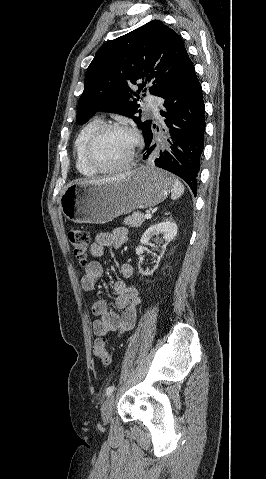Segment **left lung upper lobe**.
<instances>
[{"instance_id": "left-lung-upper-lobe-1", "label": "left lung upper lobe", "mask_w": 266, "mask_h": 479, "mask_svg": "<svg viewBox=\"0 0 266 479\" xmlns=\"http://www.w3.org/2000/svg\"><path fill=\"white\" fill-rule=\"evenodd\" d=\"M191 63L181 37L159 20L108 41L86 72L77 123H86L101 110L131 117L145 135L152 121L141 120L140 105L131 100L140 96L131 85L139 83L137 92L144 96L146 84L152 82L150 93L163 98Z\"/></svg>"}]
</instances>
